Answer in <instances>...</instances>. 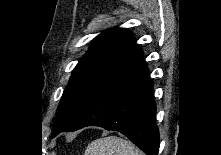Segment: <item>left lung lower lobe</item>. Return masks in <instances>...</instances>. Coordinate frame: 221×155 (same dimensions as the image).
Returning a JSON list of instances; mask_svg holds the SVG:
<instances>
[{
  "instance_id": "1",
  "label": "left lung lower lobe",
  "mask_w": 221,
  "mask_h": 155,
  "mask_svg": "<svg viewBox=\"0 0 221 155\" xmlns=\"http://www.w3.org/2000/svg\"><path fill=\"white\" fill-rule=\"evenodd\" d=\"M155 112L153 81L140 51L112 72L71 124L57 134L99 126L121 132L147 155H158L159 131Z\"/></svg>"
}]
</instances>
